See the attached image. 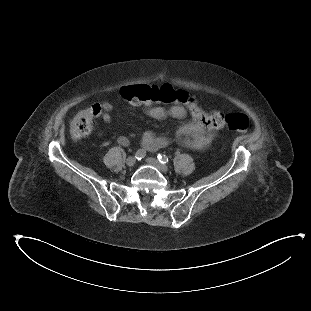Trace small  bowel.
I'll return each instance as SVG.
<instances>
[{
    "label": "small bowel",
    "instance_id": "c3829d8e",
    "mask_svg": "<svg viewBox=\"0 0 311 311\" xmlns=\"http://www.w3.org/2000/svg\"><path fill=\"white\" fill-rule=\"evenodd\" d=\"M165 87V86H164ZM145 113L150 118L156 120H164L166 118L183 119L186 117V109L182 105H174L170 108H163L146 104ZM114 106L110 102L103 104L102 119L106 123H111L112 118L110 112ZM214 138L213 134L207 133L205 128L198 122H192L181 127L175 136V140L181 145L193 149H204ZM119 143L123 146L128 145L129 141L126 137L119 138ZM142 145L148 151H156L169 144L170 139L163 136H157L152 132H146L142 137Z\"/></svg>",
    "mask_w": 311,
    "mask_h": 311
}]
</instances>
